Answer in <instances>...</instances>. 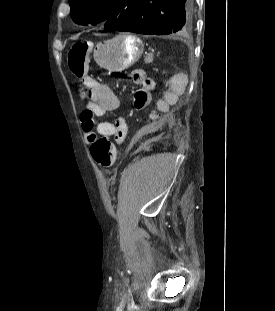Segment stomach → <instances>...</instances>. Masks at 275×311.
Here are the masks:
<instances>
[{
    "label": "stomach",
    "instance_id": "0dacf381",
    "mask_svg": "<svg viewBox=\"0 0 275 311\" xmlns=\"http://www.w3.org/2000/svg\"><path fill=\"white\" fill-rule=\"evenodd\" d=\"M143 43L132 35H119L98 43L93 52L97 65L111 72H121L139 60Z\"/></svg>",
    "mask_w": 275,
    "mask_h": 311
}]
</instances>
